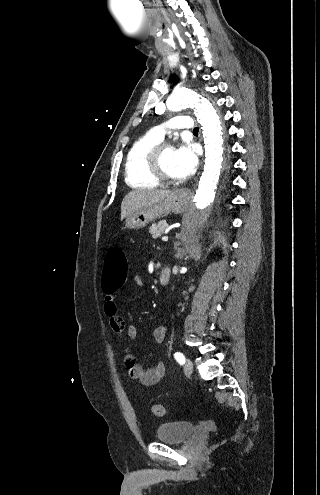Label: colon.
Returning a JSON list of instances; mask_svg holds the SVG:
<instances>
[{"mask_svg":"<svg viewBox=\"0 0 320 495\" xmlns=\"http://www.w3.org/2000/svg\"><path fill=\"white\" fill-rule=\"evenodd\" d=\"M128 272V260L125 252L121 248H112L108 251L104 266L102 285L106 292L116 291L126 280ZM152 412L156 416H163L164 407L161 404H154Z\"/></svg>","mask_w":320,"mask_h":495,"instance_id":"colon-1","label":"colon"}]
</instances>
